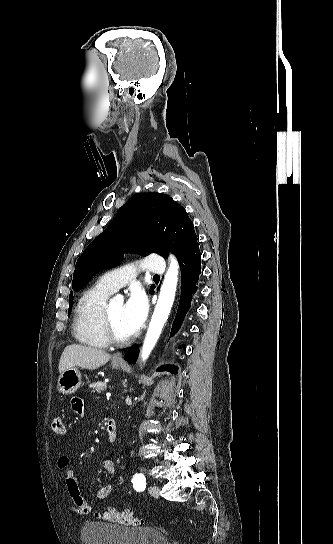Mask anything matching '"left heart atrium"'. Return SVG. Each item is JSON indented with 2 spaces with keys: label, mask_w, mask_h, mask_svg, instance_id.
I'll return each instance as SVG.
<instances>
[{
  "label": "left heart atrium",
  "mask_w": 333,
  "mask_h": 544,
  "mask_svg": "<svg viewBox=\"0 0 333 544\" xmlns=\"http://www.w3.org/2000/svg\"><path fill=\"white\" fill-rule=\"evenodd\" d=\"M147 314L148 301L145 293L141 289L133 290L123 308L124 323L132 334L142 327Z\"/></svg>",
  "instance_id": "39dd6f15"
}]
</instances>
